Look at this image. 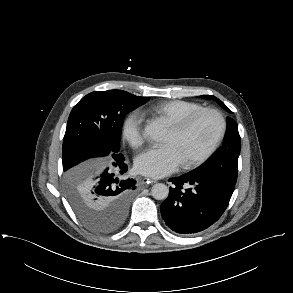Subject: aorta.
<instances>
[{"label":"aorta","instance_id":"762f6f07","mask_svg":"<svg viewBox=\"0 0 293 293\" xmlns=\"http://www.w3.org/2000/svg\"><path fill=\"white\" fill-rule=\"evenodd\" d=\"M145 137L160 142L166 134V127L161 121L148 123L143 131ZM169 188L163 183H156L151 189V195L157 200H164L168 197Z\"/></svg>","mask_w":293,"mask_h":293}]
</instances>
